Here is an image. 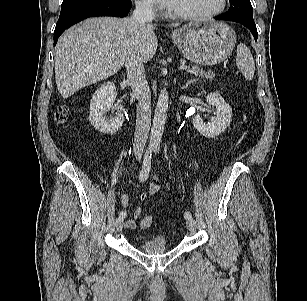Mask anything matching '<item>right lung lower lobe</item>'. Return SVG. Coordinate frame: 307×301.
<instances>
[{
	"label": "right lung lower lobe",
	"instance_id": "right-lung-lower-lobe-1",
	"mask_svg": "<svg viewBox=\"0 0 307 301\" xmlns=\"http://www.w3.org/2000/svg\"><path fill=\"white\" fill-rule=\"evenodd\" d=\"M131 8V0H86L61 8L54 31V45L59 36L71 25L94 16L125 17Z\"/></svg>",
	"mask_w": 307,
	"mask_h": 301
}]
</instances>
